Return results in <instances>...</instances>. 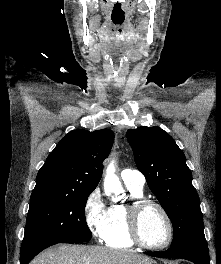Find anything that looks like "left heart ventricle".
I'll use <instances>...</instances> for the list:
<instances>
[{"label": "left heart ventricle", "instance_id": "left-heart-ventricle-1", "mask_svg": "<svg viewBox=\"0 0 221 264\" xmlns=\"http://www.w3.org/2000/svg\"><path fill=\"white\" fill-rule=\"evenodd\" d=\"M140 234L150 245H161L168 237V226L161 212L153 207H146L140 217Z\"/></svg>", "mask_w": 221, "mask_h": 264}]
</instances>
